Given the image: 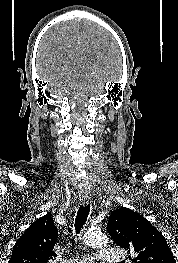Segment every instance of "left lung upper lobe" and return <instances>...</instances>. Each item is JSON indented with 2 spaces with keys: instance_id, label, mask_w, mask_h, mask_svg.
Wrapping results in <instances>:
<instances>
[{
  "instance_id": "left-lung-upper-lobe-1",
  "label": "left lung upper lobe",
  "mask_w": 178,
  "mask_h": 263,
  "mask_svg": "<svg viewBox=\"0 0 178 263\" xmlns=\"http://www.w3.org/2000/svg\"><path fill=\"white\" fill-rule=\"evenodd\" d=\"M107 231L135 263H176L165 237L139 213L124 207L114 210Z\"/></svg>"
}]
</instances>
